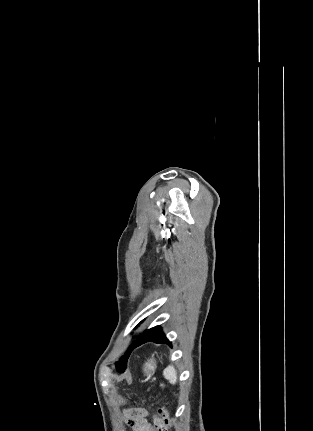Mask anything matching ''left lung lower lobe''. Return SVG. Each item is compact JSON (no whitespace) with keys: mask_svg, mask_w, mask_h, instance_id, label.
<instances>
[{"mask_svg":"<svg viewBox=\"0 0 313 431\" xmlns=\"http://www.w3.org/2000/svg\"><path fill=\"white\" fill-rule=\"evenodd\" d=\"M146 342H155V343H167L171 346L170 341L166 338L160 326H155L148 330H145L138 339L134 342L131 347V351ZM124 371H121V373Z\"/></svg>","mask_w":313,"mask_h":431,"instance_id":"1","label":"left lung lower lobe"}]
</instances>
